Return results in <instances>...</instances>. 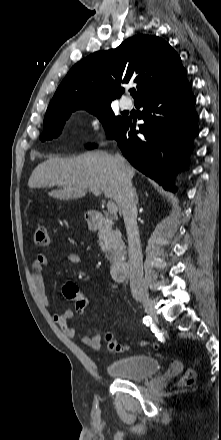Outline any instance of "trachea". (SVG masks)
<instances>
[{"mask_svg": "<svg viewBox=\"0 0 221 440\" xmlns=\"http://www.w3.org/2000/svg\"><path fill=\"white\" fill-rule=\"evenodd\" d=\"M130 93H131V94L135 93V90H131Z\"/></svg>", "mask_w": 221, "mask_h": 440, "instance_id": "3493384b", "label": "trachea"}]
</instances>
